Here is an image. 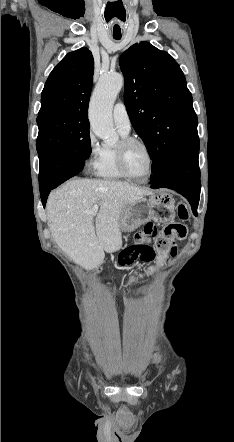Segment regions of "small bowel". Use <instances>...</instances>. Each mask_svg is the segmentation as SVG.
Returning <instances> with one entry per match:
<instances>
[{
	"mask_svg": "<svg viewBox=\"0 0 234 442\" xmlns=\"http://www.w3.org/2000/svg\"><path fill=\"white\" fill-rule=\"evenodd\" d=\"M170 255H171V256H175V255H176V248H175V247H173V249L170 251ZM165 258H166V255L163 254V255H161V257H160V260L163 261Z\"/></svg>",
	"mask_w": 234,
	"mask_h": 442,
	"instance_id": "obj_1",
	"label": "small bowel"
}]
</instances>
